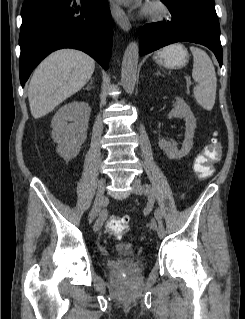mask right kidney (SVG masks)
<instances>
[{
    "instance_id": "1",
    "label": "right kidney",
    "mask_w": 245,
    "mask_h": 319,
    "mask_svg": "<svg viewBox=\"0 0 245 319\" xmlns=\"http://www.w3.org/2000/svg\"><path fill=\"white\" fill-rule=\"evenodd\" d=\"M91 108L86 102L72 101L61 107L52 119L51 137L57 152L69 161L75 158L87 138Z\"/></svg>"
}]
</instances>
